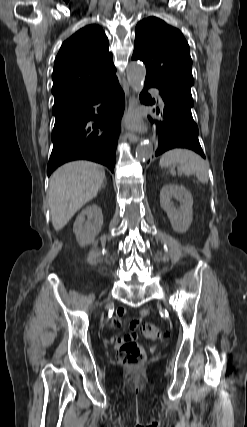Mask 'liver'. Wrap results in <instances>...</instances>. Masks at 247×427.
I'll list each match as a JSON object with an SVG mask.
<instances>
[{
	"instance_id": "obj_1",
	"label": "liver",
	"mask_w": 247,
	"mask_h": 427,
	"mask_svg": "<svg viewBox=\"0 0 247 427\" xmlns=\"http://www.w3.org/2000/svg\"><path fill=\"white\" fill-rule=\"evenodd\" d=\"M104 180V168L84 160L64 164L52 174L48 202L56 231L64 228L74 214L97 195Z\"/></svg>"
}]
</instances>
